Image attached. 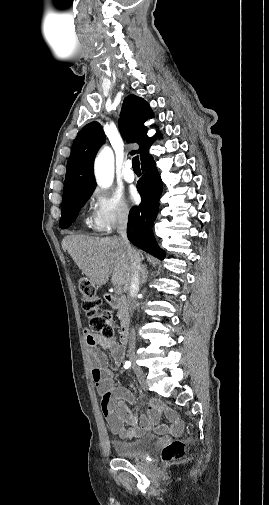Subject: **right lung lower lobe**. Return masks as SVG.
<instances>
[{"instance_id":"right-lung-lower-lobe-1","label":"right lung lower lobe","mask_w":269,"mask_h":505,"mask_svg":"<svg viewBox=\"0 0 269 505\" xmlns=\"http://www.w3.org/2000/svg\"><path fill=\"white\" fill-rule=\"evenodd\" d=\"M143 177L137 184L142 201L129 212L127 236L137 247L153 256L163 259L165 253L158 246L151 226L157 217L162 182L151 156L142 162Z\"/></svg>"}]
</instances>
